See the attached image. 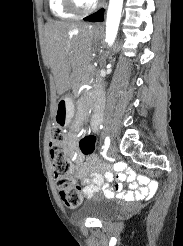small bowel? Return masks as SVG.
<instances>
[{"mask_svg": "<svg viewBox=\"0 0 183 246\" xmlns=\"http://www.w3.org/2000/svg\"><path fill=\"white\" fill-rule=\"evenodd\" d=\"M98 126L92 124V129L95 132ZM78 134L76 129L70 133L68 138V150L77 163L76 174L78 178L82 180H88L89 184L83 187V193L86 197H91L93 194L101 188V191H105L108 198H120L126 200L154 198L157 191L160 190V184L158 181H154L153 177L149 175H138L137 182L134 178V174L137 173L136 169H126V160H117L114 173L118 182L112 181L113 173L101 166L98 163L97 157H85L82 152H79ZM123 170V172H119ZM129 184L128 188H135V192L124 191L122 181Z\"/></svg>", "mask_w": 183, "mask_h": 246, "instance_id": "obj_1", "label": "small bowel"}]
</instances>
